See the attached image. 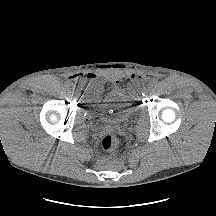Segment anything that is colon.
I'll return each mask as SVG.
<instances>
[{
	"label": "colon",
	"instance_id": "obj_1",
	"mask_svg": "<svg viewBox=\"0 0 216 216\" xmlns=\"http://www.w3.org/2000/svg\"><path fill=\"white\" fill-rule=\"evenodd\" d=\"M121 144V139L116 134H107L102 139V147L106 151L116 150Z\"/></svg>",
	"mask_w": 216,
	"mask_h": 216
}]
</instances>
